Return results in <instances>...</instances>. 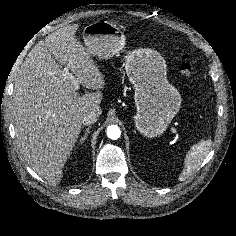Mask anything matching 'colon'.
<instances>
[{"instance_id": "1", "label": "colon", "mask_w": 236, "mask_h": 236, "mask_svg": "<svg viewBox=\"0 0 236 236\" xmlns=\"http://www.w3.org/2000/svg\"><path fill=\"white\" fill-rule=\"evenodd\" d=\"M181 60L180 71L186 79L191 80L193 78L194 70L190 60L187 56H183Z\"/></svg>"}]
</instances>
